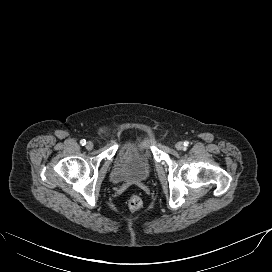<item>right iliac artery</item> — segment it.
<instances>
[{
	"label": "right iliac artery",
	"mask_w": 272,
	"mask_h": 272,
	"mask_svg": "<svg viewBox=\"0 0 272 272\" xmlns=\"http://www.w3.org/2000/svg\"><path fill=\"white\" fill-rule=\"evenodd\" d=\"M80 144H81L82 146H84V145L86 144V140H85V139L80 140Z\"/></svg>",
	"instance_id": "1"
}]
</instances>
